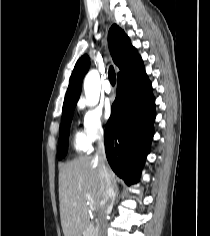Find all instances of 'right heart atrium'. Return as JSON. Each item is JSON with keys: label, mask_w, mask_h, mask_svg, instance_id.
<instances>
[{"label": "right heart atrium", "mask_w": 210, "mask_h": 236, "mask_svg": "<svg viewBox=\"0 0 210 236\" xmlns=\"http://www.w3.org/2000/svg\"><path fill=\"white\" fill-rule=\"evenodd\" d=\"M83 134L87 141L92 144L99 141L105 132V124L99 108L82 106Z\"/></svg>", "instance_id": "obj_1"}]
</instances>
